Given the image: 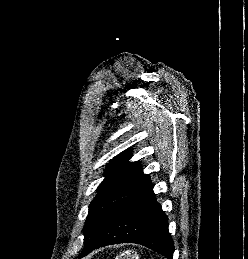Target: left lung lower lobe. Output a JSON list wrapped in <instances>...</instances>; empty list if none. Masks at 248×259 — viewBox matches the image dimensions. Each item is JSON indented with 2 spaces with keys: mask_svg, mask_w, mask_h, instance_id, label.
<instances>
[{
  "mask_svg": "<svg viewBox=\"0 0 248 259\" xmlns=\"http://www.w3.org/2000/svg\"><path fill=\"white\" fill-rule=\"evenodd\" d=\"M136 243L173 259L174 245L168 231V219L153 191L129 204L88 240L80 258L96 248Z\"/></svg>",
  "mask_w": 248,
  "mask_h": 259,
  "instance_id": "obj_1",
  "label": "left lung lower lobe"
}]
</instances>
